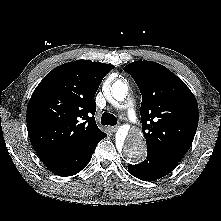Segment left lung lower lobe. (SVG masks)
Masks as SVG:
<instances>
[{
  "label": "left lung lower lobe",
  "mask_w": 221,
  "mask_h": 221,
  "mask_svg": "<svg viewBox=\"0 0 221 221\" xmlns=\"http://www.w3.org/2000/svg\"><path fill=\"white\" fill-rule=\"evenodd\" d=\"M178 164L167 156L147 151L146 160L137 165H128V171L138 179L152 181L167 175Z\"/></svg>",
  "instance_id": "0a47b994"
}]
</instances>
